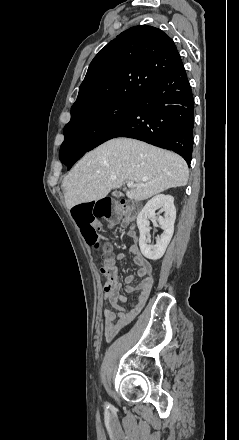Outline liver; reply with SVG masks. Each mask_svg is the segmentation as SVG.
Here are the masks:
<instances>
[{"label": "liver", "mask_w": 239, "mask_h": 440, "mask_svg": "<svg viewBox=\"0 0 239 440\" xmlns=\"http://www.w3.org/2000/svg\"><path fill=\"white\" fill-rule=\"evenodd\" d=\"M147 176V182L142 178ZM188 166L174 152L131 138H114L85 154L63 180L67 208L106 198L124 182L137 188L126 192L130 200H148L168 188L186 186Z\"/></svg>", "instance_id": "liver-1"}]
</instances>
